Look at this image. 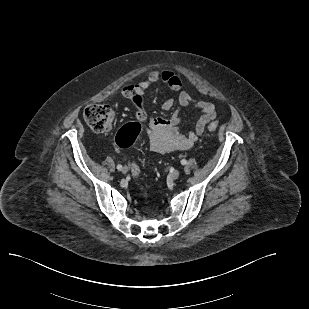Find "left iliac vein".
I'll list each match as a JSON object with an SVG mask.
<instances>
[{
    "label": "left iliac vein",
    "mask_w": 309,
    "mask_h": 309,
    "mask_svg": "<svg viewBox=\"0 0 309 309\" xmlns=\"http://www.w3.org/2000/svg\"><path fill=\"white\" fill-rule=\"evenodd\" d=\"M180 176V172L178 170H174L172 171L170 174H169V177L172 179V180H176L178 179Z\"/></svg>",
    "instance_id": "4c4485c4"
}]
</instances>
